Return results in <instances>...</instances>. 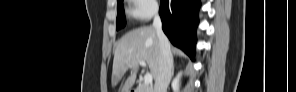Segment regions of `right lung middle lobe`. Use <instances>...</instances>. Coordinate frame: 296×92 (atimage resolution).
I'll list each match as a JSON object with an SVG mask.
<instances>
[{
	"label": "right lung middle lobe",
	"instance_id": "1",
	"mask_svg": "<svg viewBox=\"0 0 296 92\" xmlns=\"http://www.w3.org/2000/svg\"><path fill=\"white\" fill-rule=\"evenodd\" d=\"M126 25L125 13L123 8V0L117 2V20L116 29L119 30Z\"/></svg>",
	"mask_w": 296,
	"mask_h": 92
}]
</instances>
